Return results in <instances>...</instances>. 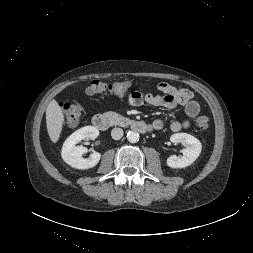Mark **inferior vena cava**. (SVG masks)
<instances>
[{"label": "inferior vena cava", "mask_w": 253, "mask_h": 253, "mask_svg": "<svg viewBox=\"0 0 253 253\" xmlns=\"http://www.w3.org/2000/svg\"><path fill=\"white\" fill-rule=\"evenodd\" d=\"M123 136V130L121 128H113L111 131V137L114 140H119Z\"/></svg>", "instance_id": "602c4592"}]
</instances>
